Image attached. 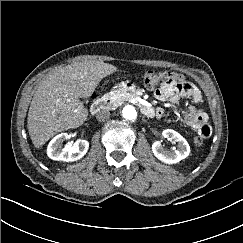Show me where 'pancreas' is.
<instances>
[{
  "label": "pancreas",
  "mask_w": 243,
  "mask_h": 243,
  "mask_svg": "<svg viewBox=\"0 0 243 243\" xmlns=\"http://www.w3.org/2000/svg\"><path fill=\"white\" fill-rule=\"evenodd\" d=\"M131 97L132 95L125 91H111L104 95V99L108 101L107 106L109 108L118 107L124 101L129 100Z\"/></svg>",
  "instance_id": "pancreas-1"
}]
</instances>
